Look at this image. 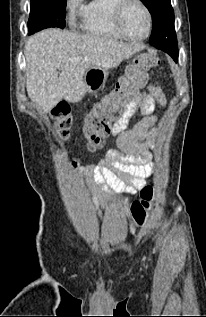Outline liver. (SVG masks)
Returning a JSON list of instances; mask_svg holds the SVG:
<instances>
[{
    "mask_svg": "<svg viewBox=\"0 0 206 317\" xmlns=\"http://www.w3.org/2000/svg\"><path fill=\"white\" fill-rule=\"evenodd\" d=\"M143 49V45L94 34L56 28L42 30L26 43L28 96L43 112H50L62 99L79 102L88 91L84 77L89 69L106 71L117 67Z\"/></svg>",
    "mask_w": 206,
    "mask_h": 317,
    "instance_id": "obj_1",
    "label": "liver"
}]
</instances>
